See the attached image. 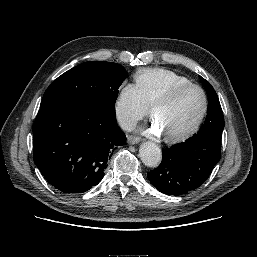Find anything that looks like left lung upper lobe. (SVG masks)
<instances>
[{"label":"left lung upper lobe","instance_id":"obj_1","mask_svg":"<svg viewBox=\"0 0 257 257\" xmlns=\"http://www.w3.org/2000/svg\"><path fill=\"white\" fill-rule=\"evenodd\" d=\"M200 80L208 94L209 105L207 109V118L200 131L191 138H201L212 136L222 139V131L224 128V117L218 96L214 88L203 78Z\"/></svg>","mask_w":257,"mask_h":257}]
</instances>
